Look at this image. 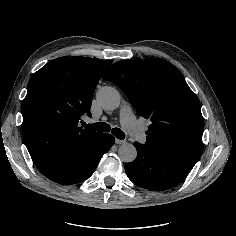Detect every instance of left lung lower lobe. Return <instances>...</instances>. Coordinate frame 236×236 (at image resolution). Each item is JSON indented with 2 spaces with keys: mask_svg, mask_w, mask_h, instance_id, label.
<instances>
[{
  "mask_svg": "<svg viewBox=\"0 0 236 236\" xmlns=\"http://www.w3.org/2000/svg\"><path fill=\"white\" fill-rule=\"evenodd\" d=\"M137 157L125 165L129 179L139 187L161 191L180 184L193 167L174 155L147 144L134 142Z\"/></svg>",
  "mask_w": 236,
  "mask_h": 236,
  "instance_id": "obj_1",
  "label": "left lung lower lobe"
}]
</instances>
